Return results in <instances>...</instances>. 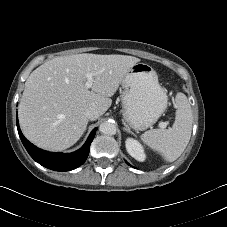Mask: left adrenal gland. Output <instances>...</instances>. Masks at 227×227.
Listing matches in <instances>:
<instances>
[{"label":"left adrenal gland","instance_id":"obj_1","mask_svg":"<svg viewBox=\"0 0 227 227\" xmlns=\"http://www.w3.org/2000/svg\"><path fill=\"white\" fill-rule=\"evenodd\" d=\"M124 130L126 131V132H128V133H131V134H134L132 131H131V129H130V127L124 122Z\"/></svg>","mask_w":227,"mask_h":227}]
</instances>
